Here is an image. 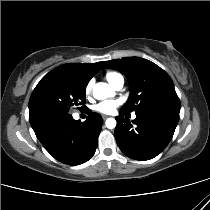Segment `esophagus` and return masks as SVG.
Here are the masks:
<instances>
[{"instance_id": "34e87169", "label": "esophagus", "mask_w": 210, "mask_h": 210, "mask_svg": "<svg viewBox=\"0 0 210 210\" xmlns=\"http://www.w3.org/2000/svg\"><path fill=\"white\" fill-rule=\"evenodd\" d=\"M108 117H109V116H107V115H102V118H103L104 120H106Z\"/></svg>"}]
</instances>
